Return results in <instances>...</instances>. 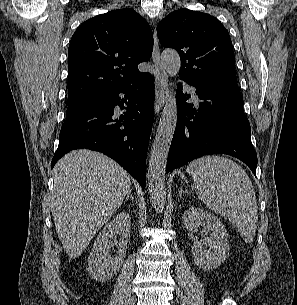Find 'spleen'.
Listing matches in <instances>:
<instances>
[{"instance_id": "3e777b00", "label": "spleen", "mask_w": 297, "mask_h": 305, "mask_svg": "<svg viewBox=\"0 0 297 305\" xmlns=\"http://www.w3.org/2000/svg\"><path fill=\"white\" fill-rule=\"evenodd\" d=\"M196 193L204 204L228 219L245 242L257 229L256 195L250 178L236 162L220 156H204L189 163Z\"/></svg>"}]
</instances>
